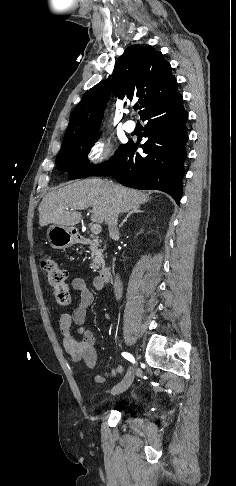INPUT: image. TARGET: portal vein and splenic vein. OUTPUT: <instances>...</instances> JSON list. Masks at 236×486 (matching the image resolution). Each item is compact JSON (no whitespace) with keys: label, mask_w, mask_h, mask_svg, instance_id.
Returning a JSON list of instances; mask_svg holds the SVG:
<instances>
[{"label":"portal vein and splenic vein","mask_w":236,"mask_h":486,"mask_svg":"<svg viewBox=\"0 0 236 486\" xmlns=\"http://www.w3.org/2000/svg\"><path fill=\"white\" fill-rule=\"evenodd\" d=\"M102 230V227L100 224H93L91 226V232L95 235H98Z\"/></svg>","instance_id":"1"}]
</instances>
